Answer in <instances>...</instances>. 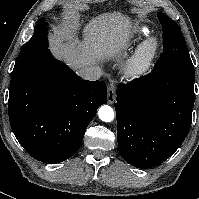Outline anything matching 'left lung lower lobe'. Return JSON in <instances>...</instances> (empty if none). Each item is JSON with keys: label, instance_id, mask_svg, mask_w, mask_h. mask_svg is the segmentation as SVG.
I'll return each instance as SVG.
<instances>
[{"label": "left lung lower lobe", "instance_id": "1", "mask_svg": "<svg viewBox=\"0 0 199 199\" xmlns=\"http://www.w3.org/2000/svg\"><path fill=\"white\" fill-rule=\"evenodd\" d=\"M194 74L152 71L119 84L117 141L120 155L137 168L155 167L183 143L192 122Z\"/></svg>", "mask_w": 199, "mask_h": 199}]
</instances>
